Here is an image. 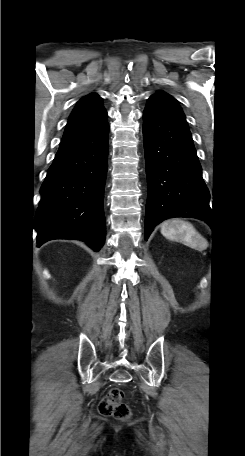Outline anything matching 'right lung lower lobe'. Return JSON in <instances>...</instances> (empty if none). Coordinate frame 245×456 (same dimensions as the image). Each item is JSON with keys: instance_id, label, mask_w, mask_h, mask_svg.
Wrapping results in <instances>:
<instances>
[{"instance_id": "right-lung-lower-lobe-1", "label": "right lung lower lobe", "mask_w": 245, "mask_h": 456, "mask_svg": "<svg viewBox=\"0 0 245 456\" xmlns=\"http://www.w3.org/2000/svg\"><path fill=\"white\" fill-rule=\"evenodd\" d=\"M108 133L106 124L93 143L55 155L35 216L38 246L54 239H79L99 251L104 244Z\"/></svg>"}]
</instances>
